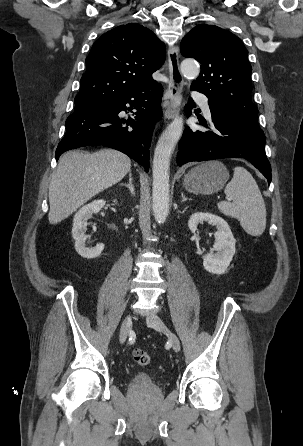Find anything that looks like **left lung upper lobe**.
<instances>
[{"label":"left lung upper lobe","mask_w":303,"mask_h":446,"mask_svg":"<svg viewBox=\"0 0 303 446\" xmlns=\"http://www.w3.org/2000/svg\"><path fill=\"white\" fill-rule=\"evenodd\" d=\"M180 49L184 57L201 63V73L192 89L260 128L258 108L251 100L248 51L237 36L217 26L198 25L184 36Z\"/></svg>","instance_id":"left-lung-upper-lobe-1"}]
</instances>
